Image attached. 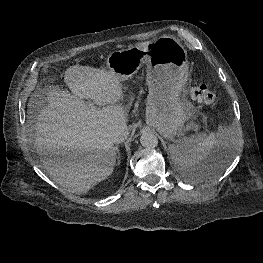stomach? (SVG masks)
<instances>
[{"label":"stomach","mask_w":263,"mask_h":263,"mask_svg":"<svg viewBox=\"0 0 263 263\" xmlns=\"http://www.w3.org/2000/svg\"><path fill=\"white\" fill-rule=\"evenodd\" d=\"M147 65L146 82L149 87L146 121L163 136L174 139L189 129V118L182 90L189 77L187 51L179 40L162 36L108 55V72L125 81Z\"/></svg>","instance_id":"0dacf381"}]
</instances>
